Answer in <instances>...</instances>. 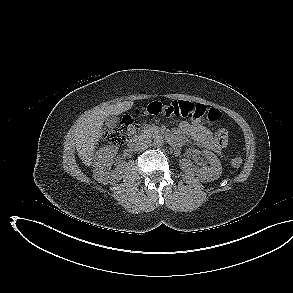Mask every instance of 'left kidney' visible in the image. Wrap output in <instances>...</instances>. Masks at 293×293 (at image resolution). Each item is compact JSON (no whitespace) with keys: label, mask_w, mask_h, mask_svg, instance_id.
<instances>
[{"label":"left kidney","mask_w":293,"mask_h":293,"mask_svg":"<svg viewBox=\"0 0 293 293\" xmlns=\"http://www.w3.org/2000/svg\"><path fill=\"white\" fill-rule=\"evenodd\" d=\"M201 155L204 156L210 166L203 165L201 168L193 167L192 163L188 159L180 160V168L191 176H198V179L203 182H209L218 179L222 174V166L218 157L208 150L201 151Z\"/></svg>","instance_id":"obj_1"}]
</instances>
